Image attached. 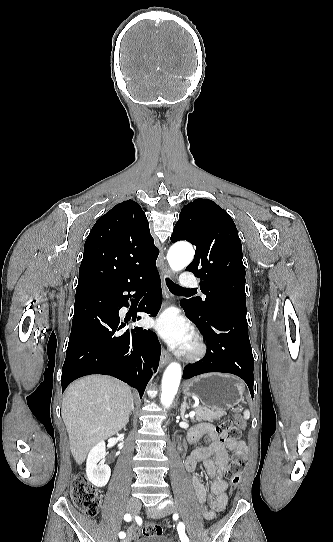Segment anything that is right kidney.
Returning a JSON list of instances; mask_svg holds the SVG:
<instances>
[{
	"label": "right kidney",
	"instance_id": "obj_1",
	"mask_svg": "<svg viewBox=\"0 0 333 542\" xmlns=\"http://www.w3.org/2000/svg\"><path fill=\"white\" fill-rule=\"evenodd\" d=\"M106 456L105 442H99L92 450H90L87 456L86 462V476L94 486L97 488H103L109 482L111 476V470L107 464H98L102 458Z\"/></svg>",
	"mask_w": 333,
	"mask_h": 542
}]
</instances>
